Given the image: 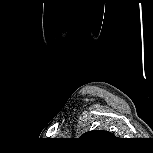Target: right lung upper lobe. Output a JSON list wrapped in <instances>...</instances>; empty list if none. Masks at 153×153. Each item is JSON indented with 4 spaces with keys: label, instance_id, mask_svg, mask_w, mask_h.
Returning a JSON list of instances; mask_svg holds the SVG:
<instances>
[{
    "label": "right lung upper lobe",
    "instance_id": "right-lung-upper-lobe-1",
    "mask_svg": "<svg viewBox=\"0 0 153 153\" xmlns=\"http://www.w3.org/2000/svg\"><path fill=\"white\" fill-rule=\"evenodd\" d=\"M102 136H107V137H112L113 135L110 132L107 131H89L84 133L81 138H95V137H102Z\"/></svg>",
    "mask_w": 153,
    "mask_h": 153
}]
</instances>
